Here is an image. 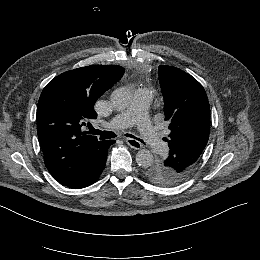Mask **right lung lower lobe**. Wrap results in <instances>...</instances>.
I'll return each mask as SVG.
<instances>
[{
  "mask_svg": "<svg viewBox=\"0 0 260 260\" xmlns=\"http://www.w3.org/2000/svg\"><path fill=\"white\" fill-rule=\"evenodd\" d=\"M115 141H108L103 147V152L90 160L85 165L75 171L68 172L59 178H55L59 183L69 188L79 189L94 184L100 177L107 159L108 148Z\"/></svg>",
  "mask_w": 260,
  "mask_h": 260,
  "instance_id": "98d812e1",
  "label": "right lung lower lobe"
}]
</instances>
